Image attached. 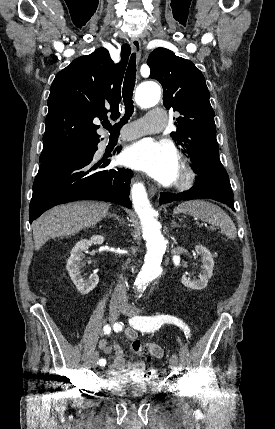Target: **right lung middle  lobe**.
<instances>
[{"instance_id": "obj_1", "label": "right lung middle lobe", "mask_w": 275, "mask_h": 429, "mask_svg": "<svg viewBox=\"0 0 275 429\" xmlns=\"http://www.w3.org/2000/svg\"><path fill=\"white\" fill-rule=\"evenodd\" d=\"M97 144L98 143H91V144L78 146L55 156L40 158L39 161L42 164L50 161L89 155L90 153L95 151V149L97 148Z\"/></svg>"}]
</instances>
